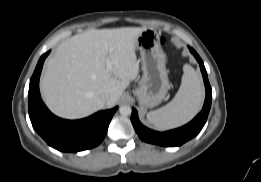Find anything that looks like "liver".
Segmentation results:
<instances>
[{"label": "liver", "mask_w": 261, "mask_h": 182, "mask_svg": "<svg viewBox=\"0 0 261 182\" xmlns=\"http://www.w3.org/2000/svg\"><path fill=\"white\" fill-rule=\"evenodd\" d=\"M146 29H91L63 41L46 61L41 79L49 109L60 117L78 119L117 104L138 76L135 45Z\"/></svg>", "instance_id": "6515ba94"}]
</instances>
